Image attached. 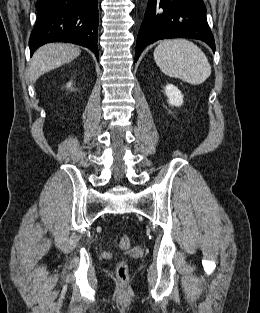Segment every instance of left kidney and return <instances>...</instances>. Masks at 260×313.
I'll list each match as a JSON object with an SVG mask.
<instances>
[{
  "instance_id": "left-kidney-1",
  "label": "left kidney",
  "mask_w": 260,
  "mask_h": 313,
  "mask_svg": "<svg viewBox=\"0 0 260 313\" xmlns=\"http://www.w3.org/2000/svg\"><path fill=\"white\" fill-rule=\"evenodd\" d=\"M165 94L168 97V103L171 106L179 107L183 104V95L181 91L172 84L165 87Z\"/></svg>"
}]
</instances>
